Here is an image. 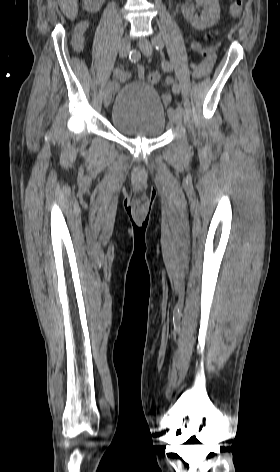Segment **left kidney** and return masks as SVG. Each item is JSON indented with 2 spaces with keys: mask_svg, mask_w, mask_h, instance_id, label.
Returning a JSON list of instances; mask_svg holds the SVG:
<instances>
[{
  "mask_svg": "<svg viewBox=\"0 0 280 472\" xmlns=\"http://www.w3.org/2000/svg\"><path fill=\"white\" fill-rule=\"evenodd\" d=\"M197 5L203 6L200 16L195 14V7L190 4L182 6V13L189 23L197 30H204L214 25L220 19L218 0H196Z\"/></svg>",
  "mask_w": 280,
  "mask_h": 472,
  "instance_id": "left-kidney-1",
  "label": "left kidney"
}]
</instances>
